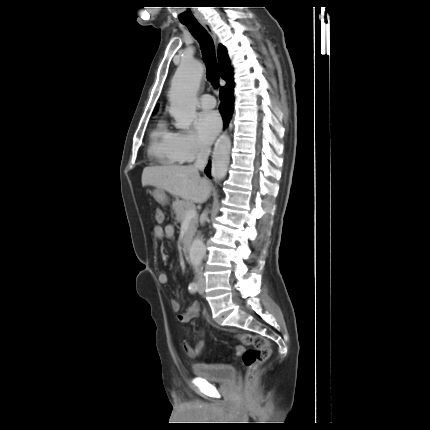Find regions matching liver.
I'll return each mask as SVG.
<instances>
[{"mask_svg": "<svg viewBox=\"0 0 430 430\" xmlns=\"http://www.w3.org/2000/svg\"><path fill=\"white\" fill-rule=\"evenodd\" d=\"M153 185L187 202L204 203L211 194V183L201 178L192 166L164 165L145 167L142 186Z\"/></svg>", "mask_w": 430, "mask_h": 430, "instance_id": "obj_1", "label": "liver"}]
</instances>
